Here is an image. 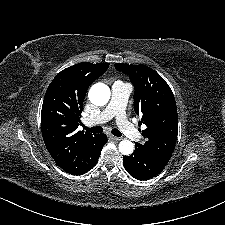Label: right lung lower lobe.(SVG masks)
I'll list each match as a JSON object with an SVG mask.
<instances>
[{
    "label": "right lung lower lobe",
    "mask_w": 225,
    "mask_h": 225,
    "mask_svg": "<svg viewBox=\"0 0 225 225\" xmlns=\"http://www.w3.org/2000/svg\"><path fill=\"white\" fill-rule=\"evenodd\" d=\"M100 138H101V140H102V148H103V146H104L105 143L107 142V136H106L105 134H101V135H100ZM102 148H101V150H102ZM100 153H101V151H100ZM100 153L98 154V156L96 157L95 161L93 162V164L91 165V167L88 169V171H89L90 169H92V168L96 165V163H97V161H98V158H99V156H100ZM88 171H87V172H88Z\"/></svg>",
    "instance_id": "obj_1"
}]
</instances>
